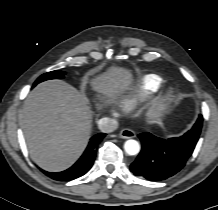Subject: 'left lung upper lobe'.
Instances as JSON below:
<instances>
[{
	"label": "left lung upper lobe",
	"instance_id": "1",
	"mask_svg": "<svg viewBox=\"0 0 218 210\" xmlns=\"http://www.w3.org/2000/svg\"><path fill=\"white\" fill-rule=\"evenodd\" d=\"M202 121H203V118H202V115H199V118L197 120V122L195 123V125L193 126L192 129H196L198 127L201 128L202 127Z\"/></svg>",
	"mask_w": 218,
	"mask_h": 210
}]
</instances>
